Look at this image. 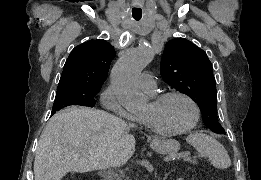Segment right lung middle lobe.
Masks as SVG:
<instances>
[{
    "mask_svg": "<svg viewBox=\"0 0 261 180\" xmlns=\"http://www.w3.org/2000/svg\"><path fill=\"white\" fill-rule=\"evenodd\" d=\"M100 88L101 87L85 85L58 87L52 114L70 105L93 107L95 105L94 97L99 92Z\"/></svg>",
    "mask_w": 261,
    "mask_h": 180,
    "instance_id": "1",
    "label": "right lung middle lobe"
}]
</instances>
